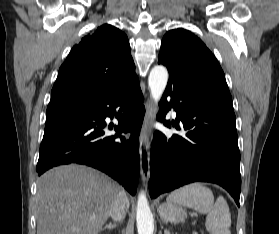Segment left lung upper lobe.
Masks as SVG:
<instances>
[{
    "label": "left lung upper lobe",
    "instance_id": "5c2ea615",
    "mask_svg": "<svg viewBox=\"0 0 279 234\" xmlns=\"http://www.w3.org/2000/svg\"><path fill=\"white\" fill-rule=\"evenodd\" d=\"M159 61L185 79L229 92L217 59L206 45L188 30L178 28L164 35Z\"/></svg>",
    "mask_w": 279,
    "mask_h": 234
}]
</instances>
